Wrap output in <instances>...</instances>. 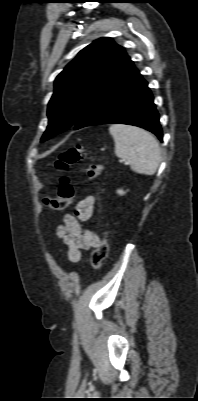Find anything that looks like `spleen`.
<instances>
[{
	"instance_id": "obj_1",
	"label": "spleen",
	"mask_w": 198,
	"mask_h": 401,
	"mask_svg": "<svg viewBox=\"0 0 198 401\" xmlns=\"http://www.w3.org/2000/svg\"><path fill=\"white\" fill-rule=\"evenodd\" d=\"M114 139L115 154L127 160L136 173L153 175L161 162V149L155 137L138 127L114 124L109 128Z\"/></svg>"
}]
</instances>
